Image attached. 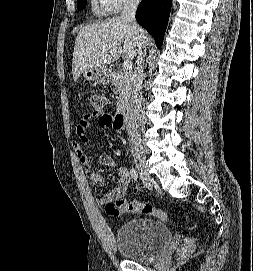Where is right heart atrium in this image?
<instances>
[{"label": "right heart atrium", "mask_w": 253, "mask_h": 271, "mask_svg": "<svg viewBox=\"0 0 253 271\" xmlns=\"http://www.w3.org/2000/svg\"><path fill=\"white\" fill-rule=\"evenodd\" d=\"M100 7L107 13L115 14L129 4L138 3L139 0H98Z\"/></svg>", "instance_id": "d8ad5b80"}]
</instances>
